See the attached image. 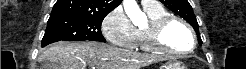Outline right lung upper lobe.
Returning <instances> with one entry per match:
<instances>
[{
  "mask_svg": "<svg viewBox=\"0 0 246 69\" xmlns=\"http://www.w3.org/2000/svg\"><path fill=\"white\" fill-rule=\"evenodd\" d=\"M122 0H57L50 18L65 16L102 17L115 9Z\"/></svg>",
  "mask_w": 246,
  "mask_h": 69,
  "instance_id": "right-lung-upper-lobe-1",
  "label": "right lung upper lobe"
}]
</instances>
